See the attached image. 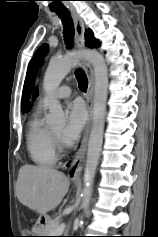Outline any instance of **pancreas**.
I'll use <instances>...</instances> for the list:
<instances>
[{
	"mask_svg": "<svg viewBox=\"0 0 158 237\" xmlns=\"http://www.w3.org/2000/svg\"><path fill=\"white\" fill-rule=\"evenodd\" d=\"M58 225L59 221L58 220H51L49 219L44 227V233L47 236H57L58 234Z\"/></svg>",
	"mask_w": 158,
	"mask_h": 237,
	"instance_id": "pancreas-1",
	"label": "pancreas"
}]
</instances>
